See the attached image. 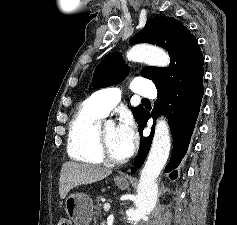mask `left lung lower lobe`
<instances>
[{
    "label": "left lung lower lobe",
    "mask_w": 237,
    "mask_h": 225,
    "mask_svg": "<svg viewBox=\"0 0 237 225\" xmlns=\"http://www.w3.org/2000/svg\"><path fill=\"white\" fill-rule=\"evenodd\" d=\"M202 81L203 76L176 88L157 90L158 96L154 109L150 113L144 108L138 121L140 135L143 134V129L149 118L154 119V124L150 136L141 140L135 167L131 168L133 173L142 166L148 155L155 131V116L161 113L169 120L174 143L172 155L165 167V172H171L169 175L171 179L177 178L178 172L173 170L179 166L189 147L204 92Z\"/></svg>",
    "instance_id": "obj_1"
}]
</instances>
